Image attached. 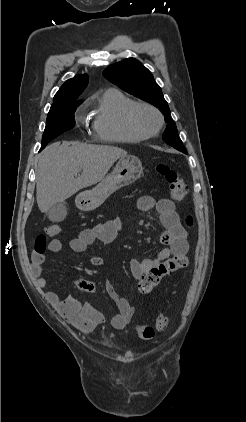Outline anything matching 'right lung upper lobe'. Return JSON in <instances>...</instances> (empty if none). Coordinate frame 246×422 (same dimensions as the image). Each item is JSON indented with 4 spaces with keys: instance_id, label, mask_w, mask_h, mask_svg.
I'll return each mask as SVG.
<instances>
[{
    "instance_id": "cb5924a9",
    "label": "right lung upper lobe",
    "mask_w": 246,
    "mask_h": 422,
    "mask_svg": "<svg viewBox=\"0 0 246 422\" xmlns=\"http://www.w3.org/2000/svg\"><path fill=\"white\" fill-rule=\"evenodd\" d=\"M88 84V76L77 75L72 79L67 80L56 93L51 107L64 105L69 103L83 102L78 97L83 92Z\"/></svg>"
}]
</instances>
